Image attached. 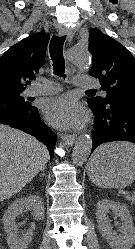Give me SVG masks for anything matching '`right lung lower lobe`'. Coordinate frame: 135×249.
<instances>
[{
    "mask_svg": "<svg viewBox=\"0 0 135 249\" xmlns=\"http://www.w3.org/2000/svg\"><path fill=\"white\" fill-rule=\"evenodd\" d=\"M0 123L7 124L13 128L20 129L30 135L37 137L48 148L51 160L56 143V134L51 131L40 119L38 109L18 101L0 98Z\"/></svg>",
    "mask_w": 135,
    "mask_h": 249,
    "instance_id": "obj_1",
    "label": "right lung lower lobe"
}]
</instances>
